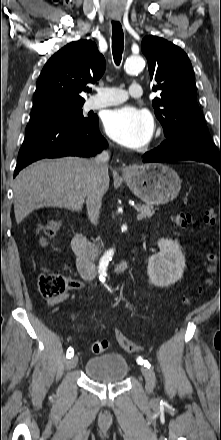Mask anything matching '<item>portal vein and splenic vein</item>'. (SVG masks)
<instances>
[{
    "instance_id": "obj_1",
    "label": "portal vein and splenic vein",
    "mask_w": 221,
    "mask_h": 440,
    "mask_svg": "<svg viewBox=\"0 0 221 440\" xmlns=\"http://www.w3.org/2000/svg\"><path fill=\"white\" fill-rule=\"evenodd\" d=\"M143 218V215L141 214V213H139L138 215H137V220L139 221V220H141Z\"/></svg>"
}]
</instances>
